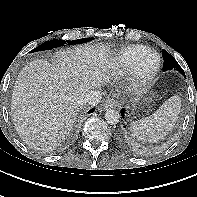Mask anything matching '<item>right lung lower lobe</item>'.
I'll return each instance as SVG.
<instances>
[{
	"mask_svg": "<svg viewBox=\"0 0 197 197\" xmlns=\"http://www.w3.org/2000/svg\"><path fill=\"white\" fill-rule=\"evenodd\" d=\"M94 111V109L90 110L89 113H92Z\"/></svg>",
	"mask_w": 197,
	"mask_h": 197,
	"instance_id": "obj_1",
	"label": "right lung lower lobe"
}]
</instances>
